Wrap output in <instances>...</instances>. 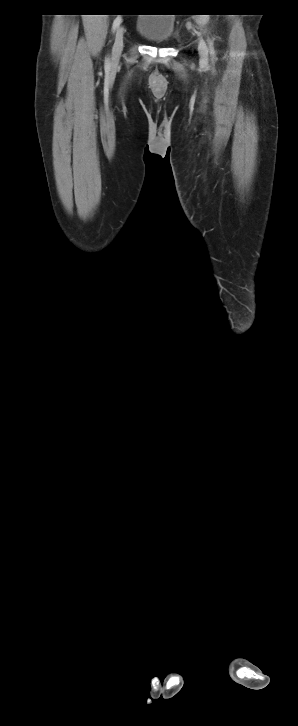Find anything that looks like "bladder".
I'll return each instance as SVG.
<instances>
[{
    "instance_id": "bladder-1",
    "label": "bladder",
    "mask_w": 298,
    "mask_h": 726,
    "mask_svg": "<svg viewBox=\"0 0 298 726\" xmlns=\"http://www.w3.org/2000/svg\"><path fill=\"white\" fill-rule=\"evenodd\" d=\"M144 15L137 21L136 32L152 44H167L175 30V19L169 14Z\"/></svg>"
}]
</instances>
